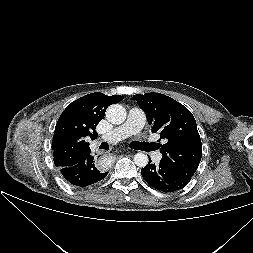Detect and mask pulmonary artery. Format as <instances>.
Segmentation results:
<instances>
[{
	"label": "pulmonary artery",
	"mask_w": 253,
	"mask_h": 253,
	"mask_svg": "<svg viewBox=\"0 0 253 253\" xmlns=\"http://www.w3.org/2000/svg\"><path fill=\"white\" fill-rule=\"evenodd\" d=\"M146 123L145 113L136 107L129 110L126 121L114 128L112 131L105 133L101 136L100 140L106 142H116L122 140L130 135L138 134ZM152 159L155 162H159L161 154L159 152L152 153Z\"/></svg>",
	"instance_id": "pulmonary-artery-1"
}]
</instances>
